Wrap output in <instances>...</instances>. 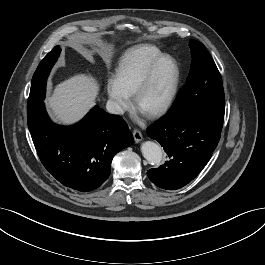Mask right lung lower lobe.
Returning <instances> with one entry per match:
<instances>
[{"mask_svg": "<svg viewBox=\"0 0 265 265\" xmlns=\"http://www.w3.org/2000/svg\"><path fill=\"white\" fill-rule=\"evenodd\" d=\"M41 162L64 186L88 192L110 175L115 154L133 144L125 121L94 107L79 123L64 127L48 117L44 103L27 113Z\"/></svg>", "mask_w": 265, "mask_h": 265, "instance_id": "1", "label": "right lung lower lobe"}]
</instances>
